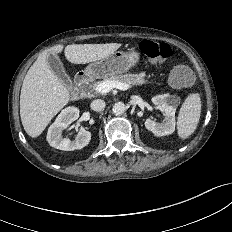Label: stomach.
<instances>
[{"mask_svg": "<svg viewBox=\"0 0 232 232\" xmlns=\"http://www.w3.org/2000/svg\"><path fill=\"white\" fill-rule=\"evenodd\" d=\"M139 61V53L135 50L114 51L109 56L90 63L85 72L91 78H104L128 71Z\"/></svg>", "mask_w": 232, "mask_h": 232, "instance_id": "stomach-1", "label": "stomach"}]
</instances>
